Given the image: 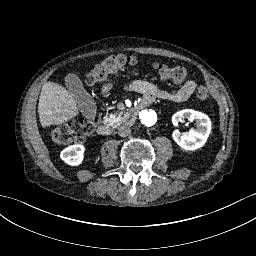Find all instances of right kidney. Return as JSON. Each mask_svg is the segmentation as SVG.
Returning a JSON list of instances; mask_svg holds the SVG:
<instances>
[{
	"label": "right kidney",
	"instance_id": "ca27d5eb",
	"mask_svg": "<svg viewBox=\"0 0 256 256\" xmlns=\"http://www.w3.org/2000/svg\"><path fill=\"white\" fill-rule=\"evenodd\" d=\"M85 150L86 148L82 144L70 145L60 152V158L65 164L77 167L84 162Z\"/></svg>",
	"mask_w": 256,
	"mask_h": 256
}]
</instances>
